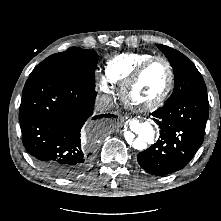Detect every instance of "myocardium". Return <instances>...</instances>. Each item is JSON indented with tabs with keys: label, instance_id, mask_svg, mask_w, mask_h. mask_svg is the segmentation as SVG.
<instances>
[{
	"label": "myocardium",
	"instance_id": "1",
	"mask_svg": "<svg viewBox=\"0 0 221 221\" xmlns=\"http://www.w3.org/2000/svg\"><path fill=\"white\" fill-rule=\"evenodd\" d=\"M157 61L163 62L167 67L169 79L166 88L157 98H155L150 102L138 103L134 101L131 97L133 87L139 81V79L141 78L143 73L147 70V68ZM174 84H175V73L170 61L162 56H153L142 62L136 68V70L126 79V81L122 84L120 93L124 104L128 108L139 112H147L160 107L169 98V96L171 95L174 89Z\"/></svg>",
	"mask_w": 221,
	"mask_h": 221
}]
</instances>
